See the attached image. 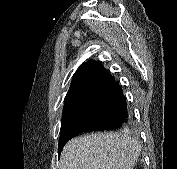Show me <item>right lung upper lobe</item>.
Segmentation results:
<instances>
[{"label": "right lung upper lobe", "mask_w": 177, "mask_h": 169, "mask_svg": "<svg viewBox=\"0 0 177 169\" xmlns=\"http://www.w3.org/2000/svg\"><path fill=\"white\" fill-rule=\"evenodd\" d=\"M101 69H103V66L95 61H90L81 65L73 76V80L66 98L86 90L87 82Z\"/></svg>", "instance_id": "right-lung-upper-lobe-1"}]
</instances>
